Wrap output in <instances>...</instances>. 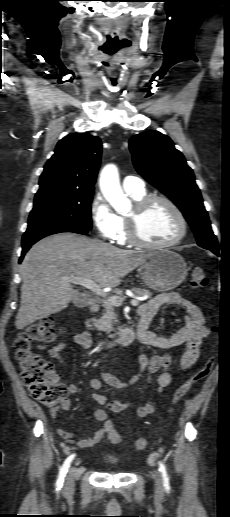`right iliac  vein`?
Segmentation results:
<instances>
[{
  "label": "right iliac vein",
  "mask_w": 230,
  "mask_h": 517,
  "mask_svg": "<svg viewBox=\"0 0 230 517\" xmlns=\"http://www.w3.org/2000/svg\"><path fill=\"white\" fill-rule=\"evenodd\" d=\"M77 474V470L74 467L69 470L64 486L65 492H71L73 490Z\"/></svg>",
  "instance_id": "1"
}]
</instances>
